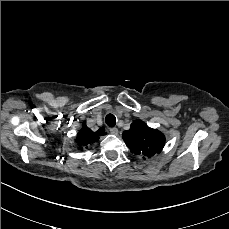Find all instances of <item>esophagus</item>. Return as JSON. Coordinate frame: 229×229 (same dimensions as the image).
Here are the masks:
<instances>
[{
  "mask_svg": "<svg viewBox=\"0 0 229 229\" xmlns=\"http://www.w3.org/2000/svg\"><path fill=\"white\" fill-rule=\"evenodd\" d=\"M110 133L113 135H117L118 134V129L117 128H111L110 129Z\"/></svg>",
  "mask_w": 229,
  "mask_h": 229,
  "instance_id": "1",
  "label": "esophagus"
}]
</instances>
